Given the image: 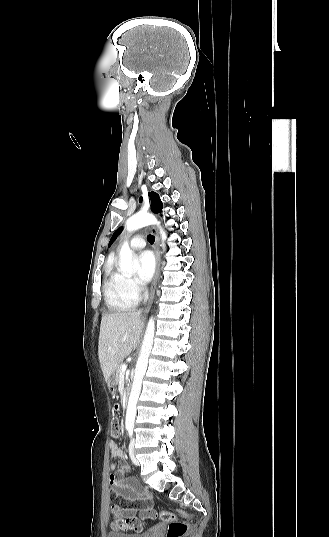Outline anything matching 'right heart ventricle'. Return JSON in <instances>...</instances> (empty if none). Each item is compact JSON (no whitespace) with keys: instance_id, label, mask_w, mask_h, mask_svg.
<instances>
[{"instance_id":"right-heart-ventricle-1","label":"right heart ventricle","mask_w":329,"mask_h":537,"mask_svg":"<svg viewBox=\"0 0 329 537\" xmlns=\"http://www.w3.org/2000/svg\"><path fill=\"white\" fill-rule=\"evenodd\" d=\"M124 275L109 264L104 279V297L108 308L112 312H122L134 307L137 303L124 288Z\"/></svg>"}]
</instances>
